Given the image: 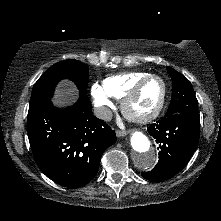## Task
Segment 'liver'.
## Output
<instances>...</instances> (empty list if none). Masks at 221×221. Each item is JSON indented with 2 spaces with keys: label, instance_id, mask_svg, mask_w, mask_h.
I'll return each mask as SVG.
<instances>
[{
  "label": "liver",
  "instance_id": "1",
  "mask_svg": "<svg viewBox=\"0 0 221 221\" xmlns=\"http://www.w3.org/2000/svg\"><path fill=\"white\" fill-rule=\"evenodd\" d=\"M77 98V89L75 86L69 81H63L59 84L56 94L55 100L59 104H70L74 102Z\"/></svg>",
  "mask_w": 221,
  "mask_h": 221
}]
</instances>
